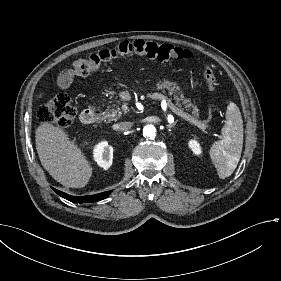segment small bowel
<instances>
[{"instance_id":"1","label":"small bowel","mask_w":281,"mask_h":281,"mask_svg":"<svg viewBox=\"0 0 281 281\" xmlns=\"http://www.w3.org/2000/svg\"><path fill=\"white\" fill-rule=\"evenodd\" d=\"M74 79V74L71 69H66L59 75L58 84L61 89H67Z\"/></svg>"}]
</instances>
